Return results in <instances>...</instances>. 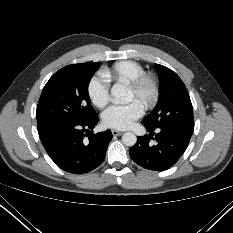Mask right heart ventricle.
Masks as SVG:
<instances>
[{"label":"right heart ventricle","instance_id":"right-heart-ventricle-1","mask_svg":"<svg viewBox=\"0 0 233 233\" xmlns=\"http://www.w3.org/2000/svg\"><path fill=\"white\" fill-rule=\"evenodd\" d=\"M109 82L124 81L131 82L139 75L144 73L143 66L133 60H122L113 64L109 69H104L100 72Z\"/></svg>","mask_w":233,"mask_h":233}]
</instances>
